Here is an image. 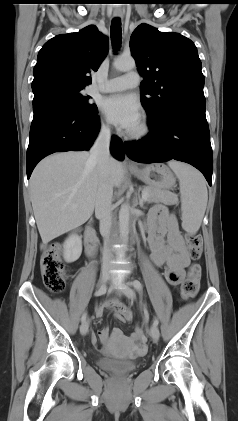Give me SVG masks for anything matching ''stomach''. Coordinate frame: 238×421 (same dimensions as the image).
<instances>
[{"instance_id": "1", "label": "stomach", "mask_w": 238, "mask_h": 421, "mask_svg": "<svg viewBox=\"0 0 238 421\" xmlns=\"http://www.w3.org/2000/svg\"><path fill=\"white\" fill-rule=\"evenodd\" d=\"M130 171L148 186L164 191L172 189L176 184L171 170L161 163L149 164L142 169H131Z\"/></svg>"}]
</instances>
